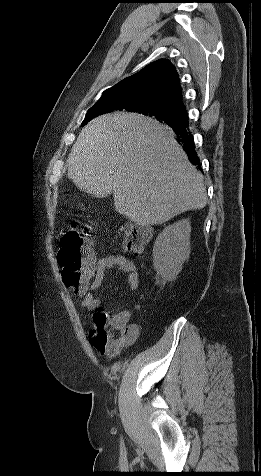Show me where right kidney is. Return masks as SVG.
Wrapping results in <instances>:
<instances>
[{
  "instance_id": "ca27d5eb",
  "label": "right kidney",
  "mask_w": 261,
  "mask_h": 476,
  "mask_svg": "<svg viewBox=\"0 0 261 476\" xmlns=\"http://www.w3.org/2000/svg\"><path fill=\"white\" fill-rule=\"evenodd\" d=\"M190 232L189 220L183 219L169 225L158 235L153 246V265L165 280L175 279L189 257Z\"/></svg>"
}]
</instances>
